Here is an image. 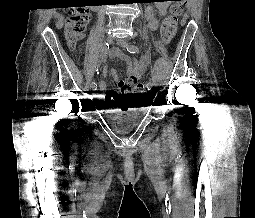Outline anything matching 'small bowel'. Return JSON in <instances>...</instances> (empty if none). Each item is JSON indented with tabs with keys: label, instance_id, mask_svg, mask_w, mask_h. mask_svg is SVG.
I'll list each match as a JSON object with an SVG mask.
<instances>
[{
	"label": "small bowel",
	"instance_id": "obj_1",
	"mask_svg": "<svg viewBox=\"0 0 255 218\" xmlns=\"http://www.w3.org/2000/svg\"><path fill=\"white\" fill-rule=\"evenodd\" d=\"M167 0H158L153 5L148 6L145 9V17L148 21V26L152 32H155L159 27V19L154 15V7L157 9L159 15L164 16L168 13V3ZM111 56L113 58L120 59L127 65V80H119L117 71L115 69L110 70L112 78L117 82V90H108L104 95H102L103 102L100 107L105 112H113L114 106H125L127 101L124 99L127 96L126 88L132 87L139 83L142 75L145 71L146 66L149 63V57L143 56L139 60H133L119 49H113L111 51ZM108 71V66H104V74ZM99 89L101 91H106L107 86L105 81L101 80L99 83Z\"/></svg>",
	"mask_w": 255,
	"mask_h": 218
}]
</instances>
